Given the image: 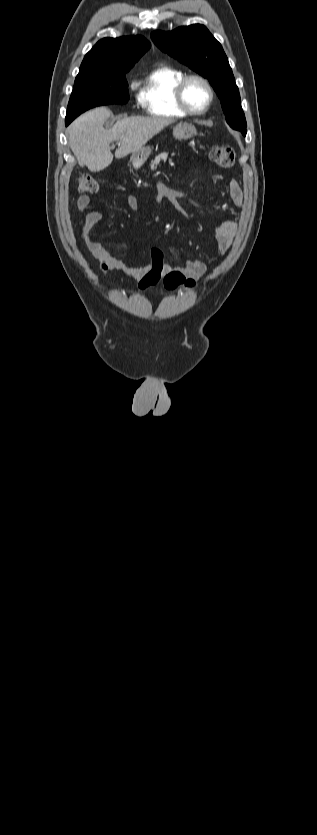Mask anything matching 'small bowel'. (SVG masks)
I'll return each instance as SVG.
<instances>
[{"mask_svg":"<svg viewBox=\"0 0 317 835\" xmlns=\"http://www.w3.org/2000/svg\"><path fill=\"white\" fill-rule=\"evenodd\" d=\"M228 195L232 202L241 207L243 204V191L236 180H230L227 183ZM91 199L89 196H80L77 200V210L80 213L87 212L85 219L81 226V238L83 239L87 249L91 255L97 260L99 267L103 273L108 276L110 271H117L131 279L138 284L141 291L147 290L155 286L161 276H163L170 268L164 263V252L161 248L155 247L151 250V262L142 267H128L120 259L116 258L112 251L105 248L94 235L96 225L102 219V212L96 207L91 206ZM127 206L131 210H135L138 206L137 200L134 196L127 197ZM238 224L233 220H223L214 229V236L217 242L220 253L224 254L230 245L237 232ZM187 278L196 280L201 278L205 271L206 265L200 259L186 260L183 266L178 269Z\"/></svg>","mask_w":317,"mask_h":835,"instance_id":"small-bowel-1","label":"small bowel"}]
</instances>
